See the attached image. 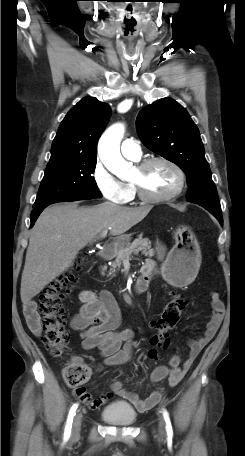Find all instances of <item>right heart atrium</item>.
<instances>
[{
	"label": "right heart atrium",
	"mask_w": 245,
	"mask_h": 456,
	"mask_svg": "<svg viewBox=\"0 0 245 456\" xmlns=\"http://www.w3.org/2000/svg\"><path fill=\"white\" fill-rule=\"evenodd\" d=\"M91 176L103 198L117 204L127 202L128 189L126 185L118 180L99 159L94 163Z\"/></svg>",
	"instance_id": "1"
}]
</instances>
